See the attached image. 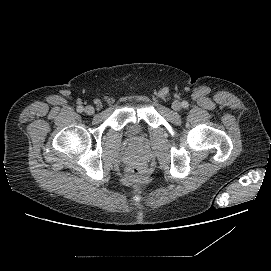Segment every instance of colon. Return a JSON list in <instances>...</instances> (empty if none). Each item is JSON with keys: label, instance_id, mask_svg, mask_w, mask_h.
<instances>
[{"label": "colon", "instance_id": "colon-1", "mask_svg": "<svg viewBox=\"0 0 271 271\" xmlns=\"http://www.w3.org/2000/svg\"><path fill=\"white\" fill-rule=\"evenodd\" d=\"M145 169L140 164H132L127 169V178L131 182H139L143 179Z\"/></svg>", "mask_w": 271, "mask_h": 271}]
</instances>
